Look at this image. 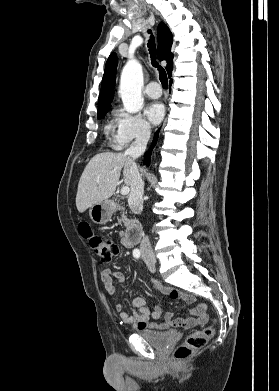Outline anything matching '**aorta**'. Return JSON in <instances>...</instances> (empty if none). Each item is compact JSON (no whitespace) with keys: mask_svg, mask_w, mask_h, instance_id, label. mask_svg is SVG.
I'll list each match as a JSON object with an SVG mask.
<instances>
[{"mask_svg":"<svg viewBox=\"0 0 279 391\" xmlns=\"http://www.w3.org/2000/svg\"><path fill=\"white\" fill-rule=\"evenodd\" d=\"M142 86V66L138 61L131 59L122 70L119 90L124 108L127 112L137 113L143 107Z\"/></svg>","mask_w":279,"mask_h":391,"instance_id":"1","label":"aorta"}]
</instances>
